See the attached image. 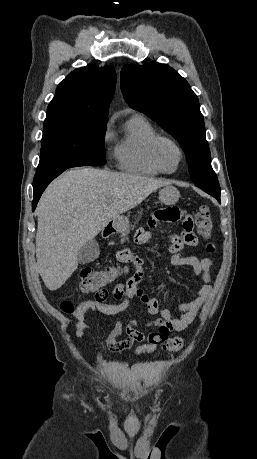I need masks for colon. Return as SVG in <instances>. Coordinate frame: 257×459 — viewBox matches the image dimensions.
Wrapping results in <instances>:
<instances>
[{
  "mask_svg": "<svg viewBox=\"0 0 257 459\" xmlns=\"http://www.w3.org/2000/svg\"><path fill=\"white\" fill-rule=\"evenodd\" d=\"M194 229L203 238H206L212 230V218L210 209L207 206L200 207L194 215ZM184 229V228H183ZM135 267V264H133ZM117 268H106L96 270L90 266L82 268L79 274L80 287L85 292H95V297L99 301H104L108 298V292L105 286L114 280L119 274ZM61 309L70 313L74 310V305L70 301H64L61 304ZM184 346V341L181 337H173L166 341L163 349L168 352H177Z\"/></svg>",
  "mask_w": 257,
  "mask_h": 459,
  "instance_id": "5ec220e1",
  "label": "colon"
}]
</instances>
